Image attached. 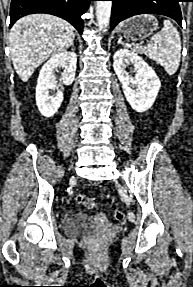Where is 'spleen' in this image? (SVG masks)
Returning <instances> with one entry per match:
<instances>
[{
  "label": "spleen",
  "instance_id": "3e777b00",
  "mask_svg": "<svg viewBox=\"0 0 193 287\" xmlns=\"http://www.w3.org/2000/svg\"><path fill=\"white\" fill-rule=\"evenodd\" d=\"M164 27L144 47V53L150 59L160 64L169 75L179 68L181 60V40L176 27L164 20Z\"/></svg>",
  "mask_w": 193,
  "mask_h": 287
}]
</instances>
